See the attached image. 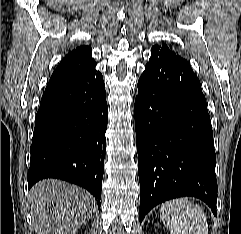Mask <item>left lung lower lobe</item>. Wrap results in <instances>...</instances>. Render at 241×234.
I'll list each match as a JSON object with an SVG mask.
<instances>
[{
    "instance_id": "left-lung-lower-lobe-1",
    "label": "left lung lower lobe",
    "mask_w": 241,
    "mask_h": 234,
    "mask_svg": "<svg viewBox=\"0 0 241 234\" xmlns=\"http://www.w3.org/2000/svg\"><path fill=\"white\" fill-rule=\"evenodd\" d=\"M134 109L140 222L157 204L181 196L202 199L216 216L213 132L189 63L170 49L152 47Z\"/></svg>"
}]
</instances>
